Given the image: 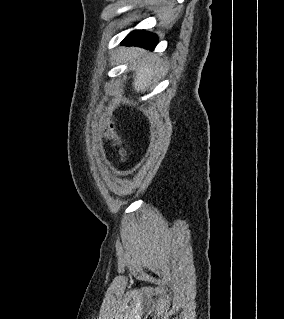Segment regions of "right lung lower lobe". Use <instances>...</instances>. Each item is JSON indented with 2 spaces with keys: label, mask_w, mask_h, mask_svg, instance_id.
Here are the masks:
<instances>
[{
  "label": "right lung lower lobe",
  "mask_w": 284,
  "mask_h": 319,
  "mask_svg": "<svg viewBox=\"0 0 284 319\" xmlns=\"http://www.w3.org/2000/svg\"><path fill=\"white\" fill-rule=\"evenodd\" d=\"M157 42L158 38L155 34L143 30H135L123 40L122 44L140 46L153 50Z\"/></svg>",
  "instance_id": "98d812e1"
}]
</instances>
